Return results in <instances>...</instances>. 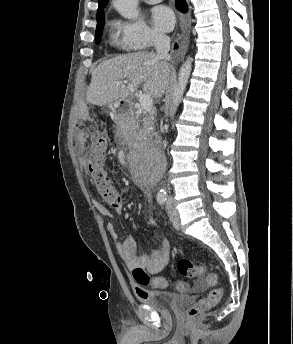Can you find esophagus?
<instances>
[{
  "instance_id": "34e87169",
  "label": "esophagus",
  "mask_w": 293,
  "mask_h": 344,
  "mask_svg": "<svg viewBox=\"0 0 293 344\" xmlns=\"http://www.w3.org/2000/svg\"><path fill=\"white\" fill-rule=\"evenodd\" d=\"M182 18H183V17H182V15H181V16L179 17V19L182 20Z\"/></svg>"
}]
</instances>
